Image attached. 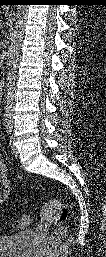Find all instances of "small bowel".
Listing matches in <instances>:
<instances>
[{
  "label": "small bowel",
  "instance_id": "small-bowel-1",
  "mask_svg": "<svg viewBox=\"0 0 106 257\" xmlns=\"http://www.w3.org/2000/svg\"><path fill=\"white\" fill-rule=\"evenodd\" d=\"M0 178V201L2 203L8 197L12 188V183L7 177V168L3 161H0Z\"/></svg>",
  "mask_w": 106,
  "mask_h": 257
}]
</instances>
